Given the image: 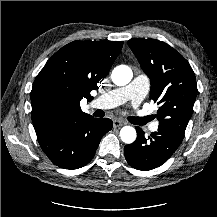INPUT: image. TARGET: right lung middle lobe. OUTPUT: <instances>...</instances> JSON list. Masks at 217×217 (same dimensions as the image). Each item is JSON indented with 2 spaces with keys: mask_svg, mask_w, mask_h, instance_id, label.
Wrapping results in <instances>:
<instances>
[{
  "mask_svg": "<svg viewBox=\"0 0 217 217\" xmlns=\"http://www.w3.org/2000/svg\"><path fill=\"white\" fill-rule=\"evenodd\" d=\"M44 110L48 114L55 113L56 112V102L53 99L48 98L44 103Z\"/></svg>",
  "mask_w": 217,
  "mask_h": 217,
  "instance_id": "1",
  "label": "right lung middle lobe"
}]
</instances>
